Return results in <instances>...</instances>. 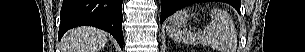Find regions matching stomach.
Segmentation results:
<instances>
[{
	"label": "stomach",
	"instance_id": "obj_1",
	"mask_svg": "<svg viewBox=\"0 0 305 52\" xmlns=\"http://www.w3.org/2000/svg\"><path fill=\"white\" fill-rule=\"evenodd\" d=\"M190 17V13L186 10H181L176 12L173 16L170 17V23L174 26H180L185 24Z\"/></svg>",
	"mask_w": 305,
	"mask_h": 52
}]
</instances>
